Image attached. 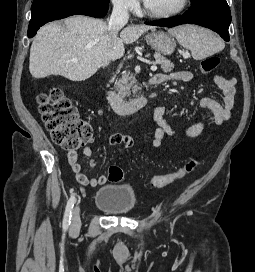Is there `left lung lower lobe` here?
Returning a JSON list of instances; mask_svg holds the SVG:
<instances>
[{
	"label": "left lung lower lobe",
	"mask_w": 255,
	"mask_h": 272,
	"mask_svg": "<svg viewBox=\"0 0 255 272\" xmlns=\"http://www.w3.org/2000/svg\"><path fill=\"white\" fill-rule=\"evenodd\" d=\"M231 12L226 0H194L191 8L182 16L145 22L147 25L173 27L181 24H197L217 32L229 41L228 28Z\"/></svg>",
	"instance_id": "obj_1"
}]
</instances>
